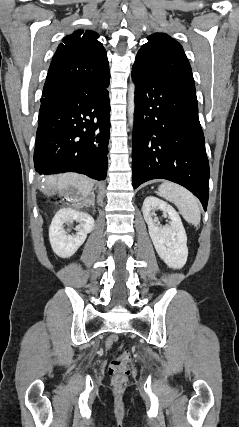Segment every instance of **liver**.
<instances>
[{"label":"liver","mask_w":239,"mask_h":427,"mask_svg":"<svg viewBox=\"0 0 239 427\" xmlns=\"http://www.w3.org/2000/svg\"><path fill=\"white\" fill-rule=\"evenodd\" d=\"M44 191L47 194L60 192L69 195V191H74L72 201L77 207L87 206L92 201L88 199L93 189V181L85 175L77 173H65L45 177Z\"/></svg>","instance_id":"1"}]
</instances>
